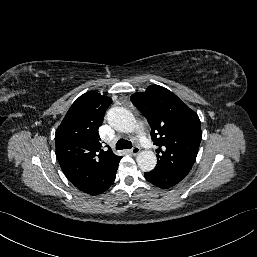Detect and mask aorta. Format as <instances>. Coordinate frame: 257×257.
<instances>
[{
  "label": "aorta",
  "instance_id": "aorta-1",
  "mask_svg": "<svg viewBox=\"0 0 257 257\" xmlns=\"http://www.w3.org/2000/svg\"><path fill=\"white\" fill-rule=\"evenodd\" d=\"M107 121L115 130L131 133L136 127V121L132 113L124 107H113L107 113ZM139 168L144 172L152 171L157 158L153 151H142L136 158Z\"/></svg>",
  "mask_w": 257,
  "mask_h": 257
}]
</instances>
